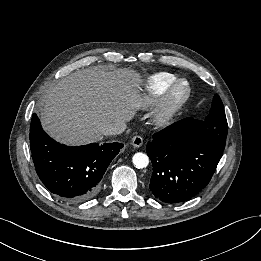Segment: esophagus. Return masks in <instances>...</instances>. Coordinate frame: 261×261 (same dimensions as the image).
Wrapping results in <instances>:
<instances>
[{
  "label": "esophagus",
  "instance_id": "esophagus-1",
  "mask_svg": "<svg viewBox=\"0 0 261 261\" xmlns=\"http://www.w3.org/2000/svg\"><path fill=\"white\" fill-rule=\"evenodd\" d=\"M131 144L133 145V147L139 148L143 144V138L139 135H135L131 140Z\"/></svg>",
  "mask_w": 261,
  "mask_h": 261
}]
</instances>
